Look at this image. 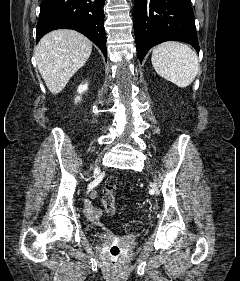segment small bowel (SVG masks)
Wrapping results in <instances>:
<instances>
[{
    "mask_svg": "<svg viewBox=\"0 0 240 281\" xmlns=\"http://www.w3.org/2000/svg\"><path fill=\"white\" fill-rule=\"evenodd\" d=\"M96 197V193L91 194V198ZM84 214L92 223H97L102 215V209L93 206L90 200H87L84 204Z\"/></svg>",
    "mask_w": 240,
    "mask_h": 281,
    "instance_id": "1",
    "label": "small bowel"
}]
</instances>
